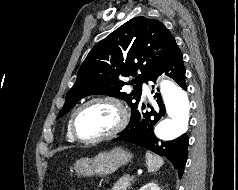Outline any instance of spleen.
Listing matches in <instances>:
<instances>
[{
  "label": "spleen",
  "instance_id": "1",
  "mask_svg": "<svg viewBox=\"0 0 238 190\" xmlns=\"http://www.w3.org/2000/svg\"><path fill=\"white\" fill-rule=\"evenodd\" d=\"M146 164L148 172L153 173L161 168L164 161L160 156L154 155L151 152H146Z\"/></svg>",
  "mask_w": 238,
  "mask_h": 190
}]
</instances>
